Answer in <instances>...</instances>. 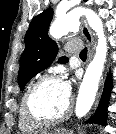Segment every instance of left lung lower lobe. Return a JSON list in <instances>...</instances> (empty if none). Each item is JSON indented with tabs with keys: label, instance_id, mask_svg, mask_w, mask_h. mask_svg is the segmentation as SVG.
<instances>
[{
	"label": "left lung lower lobe",
	"instance_id": "obj_1",
	"mask_svg": "<svg viewBox=\"0 0 116 134\" xmlns=\"http://www.w3.org/2000/svg\"><path fill=\"white\" fill-rule=\"evenodd\" d=\"M111 88H112V80H111V77L108 76L106 79L104 91H103V94H102V97H101V100L99 103V108L96 111V113L94 114V116L90 119V122H95V123L105 125L104 122H105V117H106L107 113L104 112V109L107 105Z\"/></svg>",
	"mask_w": 116,
	"mask_h": 134
}]
</instances>
